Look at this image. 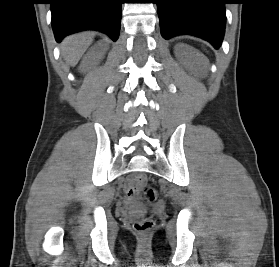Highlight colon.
Listing matches in <instances>:
<instances>
[{
	"instance_id": "colon-1",
	"label": "colon",
	"mask_w": 279,
	"mask_h": 267,
	"mask_svg": "<svg viewBox=\"0 0 279 267\" xmlns=\"http://www.w3.org/2000/svg\"><path fill=\"white\" fill-rule=\"evenodd\" d=\"M144 182H145L144 176H139L137 178L138 186L142 185ZM141 191L145 200L149 202L156 201L157 192L153 186L143 185ZM133 227L138 234L144 235L149 233L152 230V228L154 227V221L151 215L147 214L142 220L135 222Z\"/></svg>"
}]
</instances>
